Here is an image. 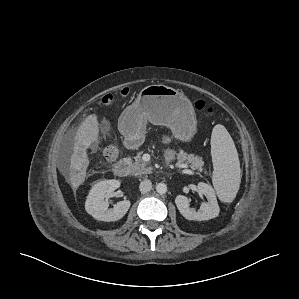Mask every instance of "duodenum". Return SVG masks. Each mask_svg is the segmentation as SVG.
Listing matches in <instances>:
<instances>
[{"label": "duodenum", "mask_w": 299, "mask_h": 299, "mask_svg": "<svg viewBox=\"0 0 299 299\" xmlns=\"http://www.w3.org/2000/svg\"><path fill=\"white\" fill-rule=\"evenodd\" d=\"M128 145H131V141L128 140ZM114 174L118 177H126L129 173L128 163L125 160L116 162L113 166Z\"/></svg>", "instance_id": "obj_1"}]
</instances>
